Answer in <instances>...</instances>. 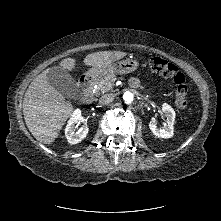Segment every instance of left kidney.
I'll use <instances>...</instances> for the list:
<instances>
[{
	"label": "left kidney",
	"instance_id": "left-kidney-1",
	"mask_svg": "<svg viewBox=\"0 0 221 221\" xmlns=\"http://www.w3.org/2000/svg\"><path fill=\"white\" fill-rule=\"evenodd\" d=\"M162 112L164 113V115L167 118L166 119L167 125H165L162 129L158 128L156 125V119L154 117H152L149 122V128L155 136L168 139L173 136V132H174L173 125H174V121H175V111L170 105L164 103L162 106Z\"/></svg>",
	"mask_w": 221,
	"mask_h": 221
}]
</instances>
